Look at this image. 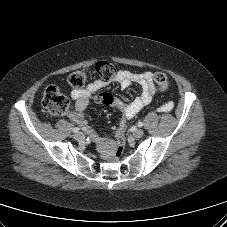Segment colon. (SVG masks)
<instances>
[{
  "label": "colon",
  "instance_id": "5ec220e1",
  "mask_svg": "<svg viewBox=\"0 0 227 227\" xmlns=\"http://www.w3.org/2000/svg\"><path fill=\"white\" fill-rule=\"evenodd\" d=\"M96 73L102 80H111L117 74V68L114 64L107 61H100L96 65ZM87 74L84 70H79L69 76V84L74 88L84 86ZM154 81L158 91H164L168 86V78L164 73L157 72L154 74ZM43 108L50 114L60 116L68 112L70 101L56 86L46 88L42 98ZM124 130H121L118 137L117 148L114 153L116 160H120L124 150Z\"/></svg>",
  "mask_w": 227,
  "mask_h": 227
}]
</instances>
